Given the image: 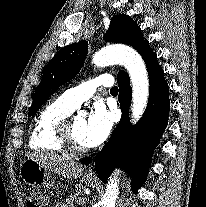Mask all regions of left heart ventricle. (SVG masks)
I'll list each match as a JSON object with an SVG mask.
<instances>
[{
	"label": "left heart ventricle",
	"mask_w": 206,
	"mask_h": 207,
	"mask_svg": "<svg viewBox=\"0 0 206 207\" xmlns=\"http://www.w3.org/2000/svg\"><path fill=\"white\" fill-rule=\"evenodd\" d=\"M87 120L83 117H76L72 125V134L75 142L80 146H86L84 133Z\"/></svg>",
	"instance_id": "1"
}]
</instances>
